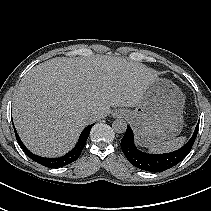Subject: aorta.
I'll return each instance as SVG.
<instances>
[{"label":"aorta","instance_id":"aorta-1","mask_svg":"<svg viewBox=\"0 0 211 211\" xmlns=\"http://www.w3.org/2000/svg\"><path fill=\"white\" fill-rule=\"evenodd\" d=\"M112 128L116 133H124L127 129V123L123 119H116L112 123Z\"/></svg>","mask_w":211,"mask_h":211}]
</instances>
